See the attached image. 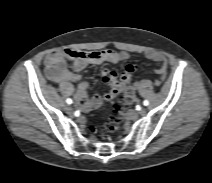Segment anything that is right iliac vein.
<instances>
[{
    "label": "right iliac vein",
    "mask_w": 212,
    "mask_h": 183,
    "mask_svg": "<svg viewBox=\"0 0 212 183\" xmlns=\"http://www.w3.org/2000/svg\"><path fill=\"white\" fill-rule=\"evenodd\" d=\"M66 110H67L69 113H71V112H72V107H71V106H67V107H66Z\"/></svg>",
    "instance_id": "right-iliac-vein-1"
}]
</instances>
